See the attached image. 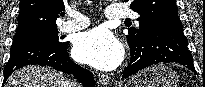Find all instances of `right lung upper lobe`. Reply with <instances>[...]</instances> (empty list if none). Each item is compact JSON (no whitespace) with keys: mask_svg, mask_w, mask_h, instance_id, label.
Segmentation results:
<instances>
[{"mask_svg":"<svg viewBox=\"0 0 205 87\" xmlns=\"http://www.w3.org/2000/svg\"><path fill=\"white\" fill-rule=\"evenodd\" d=\"M70 0H21L16 33L57 28L56 19Z\"/></svg>","mask_w":205,"mask_h":87,"instance_id":"1","label":"right lung upper lobe"}]
</instances>
